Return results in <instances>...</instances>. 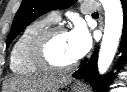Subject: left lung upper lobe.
<instances>
[{
  "instance_id": "obj_1",
  "label": "left lung upper lobe",
  "mask_w": 127,
  "mask_h": 92,
  "mask_svg": "<svg viewBox=\"0 0 127 92\" xmlns=\"http://www.w3.org/2000/svg\"><path fill=\"white\" fill-rule=\"evenodd\" d=\"M76 0H22V4L13 20L10 33L7 37L6 47L19 35L31 22L44 13L68 8Z\"/></svg>"
}]
</instances>
